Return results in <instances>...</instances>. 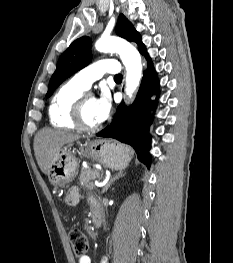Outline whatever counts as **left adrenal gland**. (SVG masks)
Wrapping results in <instances>:
<instances>
[{
  "mask_svg": "<svg viewBox=\"0 0 233 263\" xmlns=\"http://www.w3.org/2000/svg\"><path fill=\"white\" fill-rule=\"evenodd\" d=\"M125 175V173H123L122 171L118 172L117 174H115L110 181L104 186V188L102 189V193L107 192V190L109 189V187L112 185V183L119 179L122 178Z\"/></svg>",
  "mask_w": 233,
  "mask_h": 263,
  "instance_id": "a2214340",
  "label": "left adrenal gland"
}]
</instances>
